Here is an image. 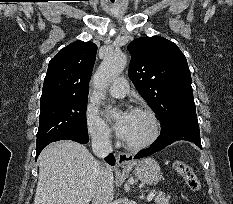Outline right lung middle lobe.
<instances>
[{"mask_svg": "<svg viewBox=\"0 0 233 204\" xmlns=\"http://www.w3.org/2000/svg\"><path fill=\"white\" fill-rule=\"evenodd\" d=\"M87 100L66 98L42 101L36 147L64 135H87Z\"/></svg>", "mask_w": 233, "mask_h": 204, "instance_id": "dd1d6c3e", "label": "right lung middle lobe"}]
</instances>
